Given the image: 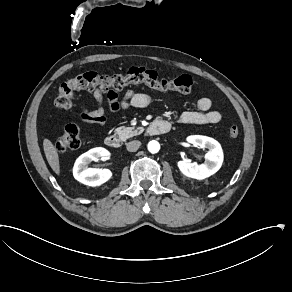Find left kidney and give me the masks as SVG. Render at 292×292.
I'll list each match as a JSON object with an SVG mask.
<instances>
[{
    "mask_svg": "<svg viewBox=\"0 0 292 292\" xmlns=\"http://www.w3.org/2000/svg\"><path fill=\"white\" fill-rule=\"evenodd\" d=\"M188 141L203 150H208V152L204 156L205 161L201 164L178 161L177 167L180 172L184 176L196 180H203L215 174L223 163V152L220 144L212 138L199 135L190 136Z\"/></svg>",
    "mask_w": 292,
    "mask_h": 292,
    "instance_id": "obj_1",
    "label": "left kidney"
}]
</instances>
